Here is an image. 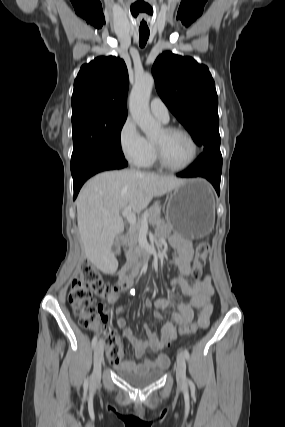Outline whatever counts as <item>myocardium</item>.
<instances>
[{
    "instance_id": "f54148a6",
    "label": "myocardium",
    "mask_w": 285,
    "mask_h": 427,
    "mask_svg": "<svg viewBox=\"0 0 285 427\" xmlns=\"http://www.w3.org/2000/svg\"><path fill=\"white\" fill-rule=\"evenodd\" d=\"M163 131L166 134L181 133V134L185 135L189 139V141L192 145V155H191L190 159L185 164H183L181 166L170 165L164 158L161 146L158 143H156L155 141H153L155 157H156V161L158 162V164L166 170L175 171V172L183 171V170H186L189 167H191L194 164V162L196 161V159L198 157V151H199L197 141L195 140V138L191 134V132L188 131L186 128L181 127V126H167V127L163 128Z\"/></svg>"
}]
</instances>
